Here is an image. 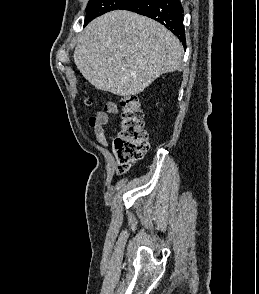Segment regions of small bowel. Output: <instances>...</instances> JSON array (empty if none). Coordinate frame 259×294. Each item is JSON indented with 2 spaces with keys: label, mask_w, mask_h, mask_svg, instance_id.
<instances>
[{
  "label": "small bowel",
  "mask_w": 259,
  "mask_h": 294,
  "mask_svg": "<svg viewBox=\"0 0 259 294\" xmlns=\"http://www.w3.org/2000/svg\"><path fill=\"white\" fill-rule=\"evenodd\" d=\"M119 111V107L116 102L110 101L106 103L103 111L95 113L88 120L89 127L94 131L95 138L101 146H107L108 141L105 136L104 126L109 121V115H115Z\"/></svg>",
  "instance_id": "c3829d8e"
}]
</instances>
